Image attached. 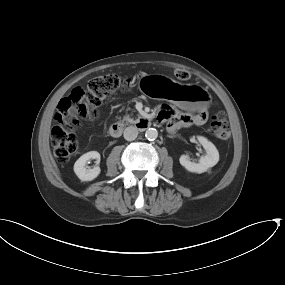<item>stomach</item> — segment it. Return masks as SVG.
Segmentation results:
<instances>
[{
    "mask_svg": "<svg viewBox=\"0 0 285 285\" xmlns=\"http://www.w3.org/2000/svg\"><path fill=\"white\" fill-rule=\"evenodd\" d=\"M139 89L152 97L157 95L160 87L170 89L166 98L177 107L198 111L210 104L211 96L206 89L195 84H181L162 75H143L139 80Z\"/></svg>",
    "mask_w": 285,
    "mask_h": 285,
    "instance_id": "1",
    "label": "stomach"
}]
</instances>
